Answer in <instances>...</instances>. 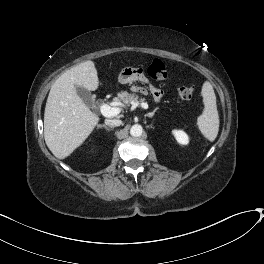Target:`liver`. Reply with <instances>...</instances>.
<instances>
[{"instance_id":"obj_1","label":"liver","mask_w":264,"mask_h":264,"mask_svg":"<svg viewBox=\"0 0 264 264\" xmlns=\"http://www.w3.org/2000/svg\"><path fill=\"white\" fill-rule=\"evenodd\" d=\"M76 86L95 91L99 86L93 61H85L63 73L52 85L44 112V138L53 155L68 157L99 122L76 92Z\"/></svg>"}]
</instances>
